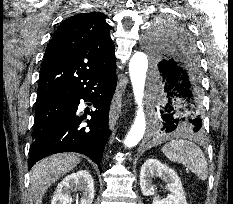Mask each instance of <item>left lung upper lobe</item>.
Segmentation results:
<instances>
[{
    "instance_id": "1",
    "label": "left lung upper lobe",
    "mask_w": 233,
    "mask_h": 204,
    "mask_svg": "<svg viewBox=\"0 0 233 204\" xmlns=\"http://www.w3.org/2000/svg\"><path fill=\"white\" fill-rule=\"evenodd\" d=\"M147 47L154 66L164 60L167 50L175 49L181 54L189 56L196 64L198 71H200L193 40L189 34L180 27L163 25L162 27L155 28L147 38Z\"/></svg>"
}]
</instances>
